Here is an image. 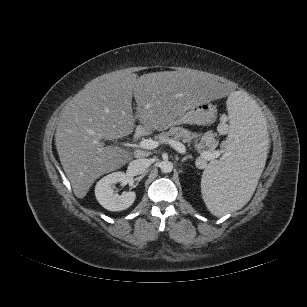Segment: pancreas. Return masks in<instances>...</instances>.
<instances>
[{"label":"pancreas","mask_w":307,"mask_h":307,"mask_svg":"<svg viewBox=\"0 0 307 307\" xmlns=\"http://www.w3.org/2000/svg\"><path fill=\"white\" fill-rule=\"evenodd\" d=\"M195 137V133H192L188 129H185L183 127H171L169 131L163 132L161 134L156 135V139H158L160 142L165 143L169 139L173 140H181L183 143L190 144L192 139ZM208 147L209 150H213L215 147V143H195V149L199 153L205 152V147Z\"/></svg>","instance_id":"obj_1"}]
</instances>
